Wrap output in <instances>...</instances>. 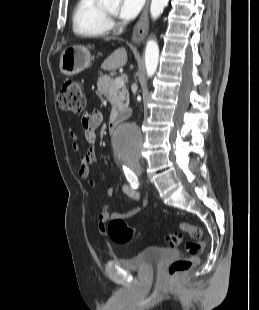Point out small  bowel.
Wrapping results in <instances>:
<instances>
[{
    "label": "small bowel",
    "mask_w": 259,
    "mask_h": 310,
    "mask_svg": "<svg viewBox=\"0 0 259 310\" xmlns=\"http://www.w3.org/2000/svg\"><path fill=\"white\" fill-rule=\"evenodd\" d=\"M102 113L98 110H94L90 113L83 114L81 118V125L83 128V136L84 141L88 145L86 153L81 157L80 166L78 169V175L81 179L85 180L87 182V185L91 189H96L97 184L94 179L90 177V167L91 165H94L97 162V156L94 148V144L96 141V134L98 127L102 121ZM69 136L72 140V149L74 151L79 150V143H78V136L77 133L73 130H69ZM121 190L124 194H126L128 197L138 201L140 200V194L137 188H133L132 186L128 184H123L121 186ZM143 205L146 203V201L142 202ZM141 210V207H136L129 212H127L124 215H112L109 213L107 206H104L98 213H97V219L99 224V230L103 236L107 235V229L106 225L109 221H111L113 218L116 217H132L139 213Z\"/></svg>",
    "instance_id": "obj_1"
}]
</instances>
